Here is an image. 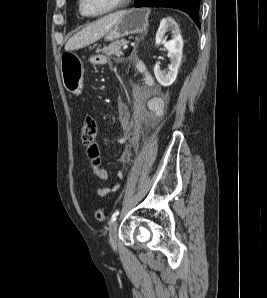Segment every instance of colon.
Instances as JSON below:
<instances>
[{
  "mask_svg": "<svg viewBox=\"0 0 267 298\" xmlns=\"http://www.w3.org/2000/svg\"><path fill=\"white\" fill-rule=\"evenodd\" d=\"M99 126L94 117L87 116L84 118L80 129V142L85 148L87 156L90 158L93 167L100 165V146L98 144ZM95 218L98 221H104L107 218V213L103 208H98L95 211Z\"/></svg>",
  "mask_w": 267,
  "mask_h": 298,
  "instance_id": "colon-1",
  "label": "colon"
}]
</instances>
